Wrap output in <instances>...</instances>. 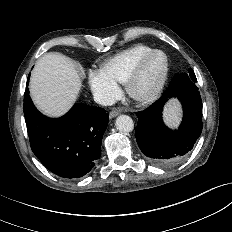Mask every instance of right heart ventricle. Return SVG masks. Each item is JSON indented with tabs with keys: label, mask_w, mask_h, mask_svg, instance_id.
Instances as JSON below:
<instances>
[{
	"label": "right heart ventricle",
	"mask_w": 232,
	"mask_h": 232,
	"mask_svg": "<svg viewBox=\"0 0 232 232\" xmlns=\"http://www.w3.org/2000/svg\"><path fill=\"white\" fill-rule=\"evenodd\" d=\"M152 50L151 46L145 44L134 45L107 59L101 70L116 83H124L135 63Z\"/></svg>",
	"instance_id": "right-heart-ventricle-1"
}]
</instances>
